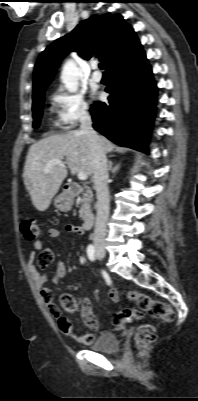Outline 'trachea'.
Wrapping results in <instances>:
<instances>
[{
  "instance_id": "obj_1",
  "label": "trachea",
  "mask_w": 198,
  "mask_h": 401,
  "mask_svg": "<svg viewBox=\"0 0 198 401\" xmlns=\"http://www.w3.org/2000/svg\"><path fill=\"white\" fill-rule=\"evenodd\" d=\"M99 68H100V69H103V68H104V65H103V64H99Z\"/></svg>"
}]
</instances>
